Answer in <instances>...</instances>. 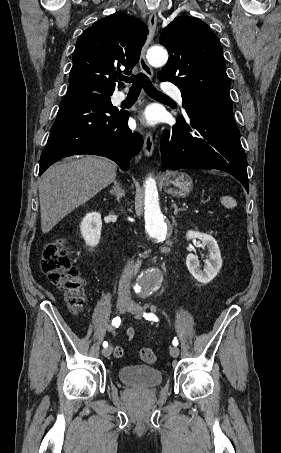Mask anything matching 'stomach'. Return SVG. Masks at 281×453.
<instances>
[{
	"label": "stomach",
	"mask_w": 281,
	"mask_h": 453,
	"mask_svg": "<svg viewBox=\"0 0 281 453\" xmlns=\"http://www.w3.org/2000/svg\"><path fill=\"white\" fill-rule=\"evenodd\" d=\"M163 186L165 192L172 194V196H188L193 190L192 178L185 174V172H167L163 176Z\"/></svg>",
	"instance_id": "1"
}]
</instances>
